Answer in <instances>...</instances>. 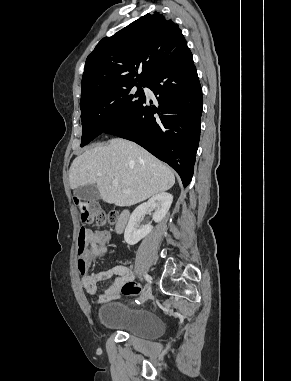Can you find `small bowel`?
I'll list each match as a JSON object with an SVG mask.
<instances>
[{
	"label": "small bowel",
	"mask_w": 291,
	"mask_h": 381,
	"mask_svg": "<svg viewBox=\"0 0 291 381\" xmlns=\"http://www.w3.org/2000/svg\"><path fill=\"white\" fill-rule=\"evenodd\" d=\"M90 244L92 248V256H103L108 250V244L111 240V233L108 230L89 231ZM114 278V282L104 293L99 297V302H105L112 299H117L121 296V288L134 279L132 271L124 265H115L114 267L100 271L96 274L85 275L82 277V286L89 295H94L97 292L98 282Z\"/></svg>",
	"instance_id": "c3829d8e"
}]
</instances>
